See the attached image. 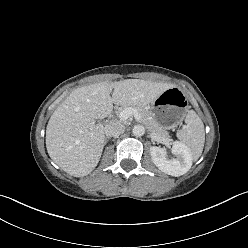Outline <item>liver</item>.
I'll list each match as a JSON object with an SVG mask.
<instances>
[{
    "instance_id": "liver-1",
    "label": "liver",
    "mask_w": 248,
    "mask_h": 248,
    "mask_svg": "<svg viewBox=\"0 0 248 248\" xmlns=\"http://www.w3.org/2000/svg\"><path fill=\"white\" fill-rule=\"evenodd\" d=\"M173 85L140 79L104 81L72 91L51 115L46 128V148L66 173L84 177L97 166L105 144L104 126L113 104L144 106ZM112 93V97L111 94Z\"/></svg>"
}]
</instances>
